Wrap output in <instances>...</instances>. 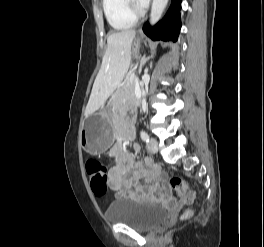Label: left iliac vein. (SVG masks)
<instances>
[{
    "label": "left iliac vein",
    "instance_id": "obj_1",
    "mask_svg": "<svg viewBox=\"0 0 264 247\" xmlns=\"http://www.w3.org/2000/svg\"><path fill=\"white\" fill-rule=\"evenodd\" d=\"M146 147L150 153H156L158 151V143L156 139L151 138L150 141L147 143Z\"/></svg>",
    "mask_w": 264,
    "mask_h": 247
}]
</instances>
